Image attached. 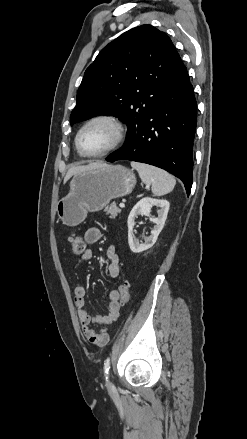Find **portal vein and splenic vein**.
I'll list each match as a JSON object with an SVG mask.
<instances>
[{"mask_svg": "<svg viewBox=\"0 0 247 439\" xmlns=\"http://www.w3.org/2000/svg\"><path fill=\"white\" fill-rule=\"evenodd\" d=\"M119 206H120L121 208H124V207H125V204H124L123 202H121V203L119 204Z\"/></svg>", "mask_w": 247, "mask_h": 439, "instance_id": "18ae733b", "label": "portal vein and splenic vein"}]
</instances>
